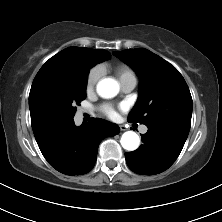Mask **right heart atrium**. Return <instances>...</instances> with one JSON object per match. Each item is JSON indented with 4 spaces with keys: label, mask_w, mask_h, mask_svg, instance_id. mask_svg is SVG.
<instances>
[{
    "label": "right heart atrium",
    "mask_w": 222,
    "mask_h": 222,
    "mask_svg": "<svg viewBox=\"0 0 222 222\" xmlns=\"http://www.w3.org/2000/svg\"><path fill=\"white\" fill-rule=\"evenodd\" d=\"M101 74V69L97 66L90 69L86 79L87 91H92L95 88L97 82L101 78Z\"/></svg>",
    "instance_id": "1"
}]
</instances>
